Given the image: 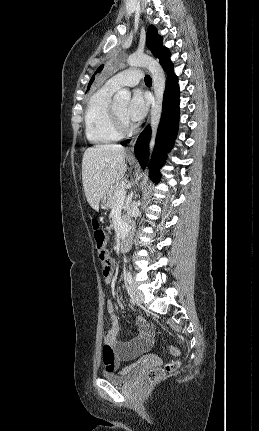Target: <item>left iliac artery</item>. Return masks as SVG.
I'll use <instances>...</instances> for the list:
<instances>
[{
  "mask_svg": "<svg viewBox=\"0 0 259 431\" xmlns=\"http://www.w3.org/2000/svg\"><path fill=\"white\" fill-rule=\"evenodd\" d=\"M125 278L129 284H132L133 278H132L130 271H126Z\"/></svg>",
  "mask_w": 259,
  "mask_h": 431,
  "instance_id": "left-iliac-artery-1",
  "label": "left iliac artery"
}]
</instances>
